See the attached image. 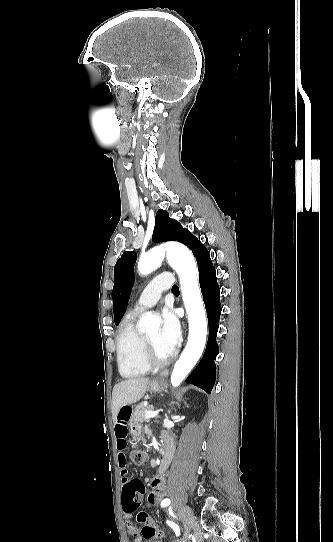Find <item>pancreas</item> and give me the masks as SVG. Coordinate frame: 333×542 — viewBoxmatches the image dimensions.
<instances>
[{
  "mask_svg": "<svg viewBox=\"0 0 333 542\" xmlns=\"http://www.w3.org/2000/svg\"><path fill=\"white\" fill-rule=\"evenodd\" d=\"M153 410L154 406H143V404H139V406H136L132 418L133 420H136V422L142 424V422H145L146 420V418H144L145 412H153Z\"/></svg>",
  "mask_w": 333,
  "mask_h": 542,
  "instance_id": "obj_1",
  "label": "pancreas"
}]
</instances>
